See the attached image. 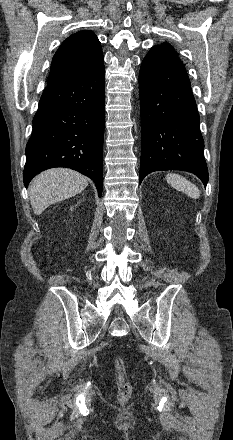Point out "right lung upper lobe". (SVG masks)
I'll return each instance as SVG.
<instances>
[{"mask_svg": "<svg viewBox=\"0 0 233 440\" xmlns=\"http://www.w3.org/2000/svg\"><path fill=\"white\" fill-rule=\"evenodd\" d=\"M100 42L91 31L68 37L55 53L47 85L67 83L96 73L102 67Z\"/></svg>", "mask_w": 233, "mask_h": 440, "instance_id": "right-lung-upper-lobe-1", "label": "right lung upper lobe"}]
</instances>
